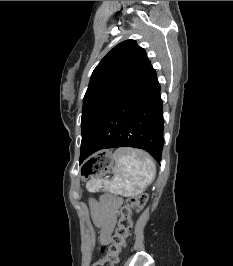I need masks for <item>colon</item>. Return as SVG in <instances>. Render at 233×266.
Masks as SVG:
<instances>
[{
	"mask_svg": "<svg viewBox=\"0 0 233 266\" xmlns=\"http://www.w3.org/2000/svg\"><path fill=\"white\" fill-rule=\"evenodd\" d=\"M146 194H138L126 199L120 210V216L115 233L109 245L103 249L102 257L93 266H115L119 261V255L128 244L132 233L133 216L145 206Z\"/></svg>",
	"mask_w": 233,
	"mask_h": 266,
	"instance_id": "obj_1",
	"label": "colon"
}]
</instances>
